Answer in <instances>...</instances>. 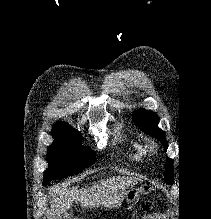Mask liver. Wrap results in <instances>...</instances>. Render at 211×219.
<instances>
[{
    "instance_id": "liver-1",
    "label": "liver",
    "mask_w": 211,
    "mask_h": 219,
    "mask_svg": "<svg viewBox=\"0 0 211 219\" xmlns=\"http://www.w3.org/2000/svg\"><path fill=\"white\" fill-rule=\"evenodd\" d=\"M136 182L137 180L131 177L114 176L89 188H56L53 189L51 208L55 210L57 217H60L70 209L74 201L82 207H117L124 199L125 190Z\"/></svg>"
}]
</instances>
